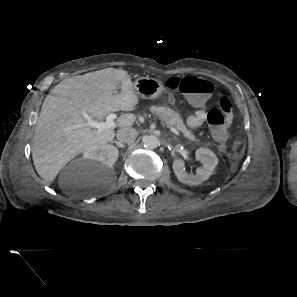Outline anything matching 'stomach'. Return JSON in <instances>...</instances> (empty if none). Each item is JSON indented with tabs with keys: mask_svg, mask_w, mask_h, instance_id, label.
I'll use <instances>...</instances> for the list:
<instances>
[{
	"mask_svg": "<svg viewBox=\"0 0 297 297\" xmlns=\"http://www.w3.org/2000/svg\"><path fill=\"white\" fill-rule=\"evenodd\" d=\"M133 90L143 99H154L163 93L164 86L158 79L139 77L133 84Z\"/></svg>",
	"mask_w": 297,
	"mask_h": 297,
	"instance_id": "obj_1",
	"label": "stomach"
}]
</instances>
